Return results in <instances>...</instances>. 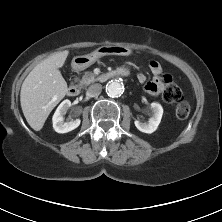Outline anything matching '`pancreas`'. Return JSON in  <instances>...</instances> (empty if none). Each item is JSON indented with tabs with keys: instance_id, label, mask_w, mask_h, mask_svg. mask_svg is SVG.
<instances>
[{
	"instance_id": "cf45deb5",
	"label": "pancreas",
	"mask_w": 222,
	"mask_h": 222,
	"mask_svg": "<svg viewBox=\"0 0 222 222\" xmlns=\"http://www.w3.org/2000/svg\"><path fill=\"white\" fill-rule=\"evenodd\" d=\"M100 78L90 71H86L82 78L79 80L80 87H86L91 83L98 81Z\"/></svg>"
}]
</instances>
